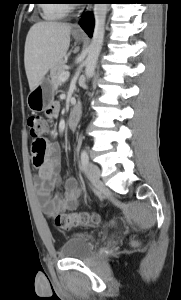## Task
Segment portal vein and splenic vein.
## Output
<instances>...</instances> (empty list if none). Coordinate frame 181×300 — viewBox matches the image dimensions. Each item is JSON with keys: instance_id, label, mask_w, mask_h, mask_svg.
Here are the masks:
<instances>
[{"instance_id": "obj_1", "label": "portal vein and splenic vein", "mask_w": 181, "mask_h": 300, "mask_svg": "<svg viewBox=\"0 0 181 300\" xmlns=\"http://www.w3.org/2000/svg\"><path fill=\"white\" fill-rule=\"evenodd\" d=\"M69 76H70L69 71H65V72H63V73L61 74L60 80H61L62 82H64V81H66V80L69 78Z\"/></svg>"}]
</instances>
